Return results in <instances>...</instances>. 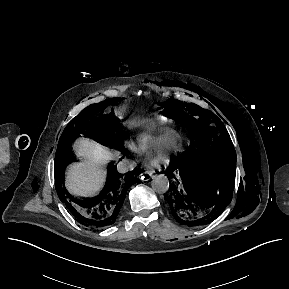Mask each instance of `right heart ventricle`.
Instances as JSON below:
<instances>
[{
    "mask_svg": "<svg viewBox=\"0 0 289 289\" xmlns=\"http://www.w3.org/2000/svg\"><path fill=\"white\" fill-rule=\"evenodd\" d=\"M177 138L174 131H164L158 134L142 133L131 143L132 150L139 153H155Z\"/></svg>",
    "mask_w": 289,
    "mask_h": 289,
    "instance_id": "obj_1",
    "label": "right heart ventricle"
}]
</instances>
